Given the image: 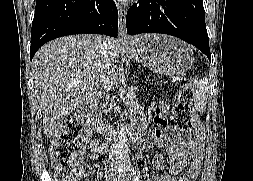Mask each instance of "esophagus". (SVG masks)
I'll return each mask as SVG.
<instances>
[{
	"label": "esophagus",
	"instance_id": "esophagus-1",
	"mask_svg": "<svg viewBox=\"0 0 253 181\" xmlns=\"http://www.w3.org/2000/svg\"><path fill=\"white\" fill-rule=\"evenodd\" d=\"M119 12V27H118V38L119 40L126 41L128 40L127 32H126V8L124 6H118Z\"/></svg>",
	"mask_w": 253,
	"mask_h": 181
}]
</instances>
